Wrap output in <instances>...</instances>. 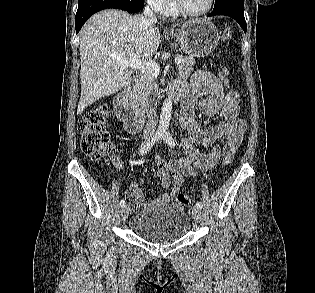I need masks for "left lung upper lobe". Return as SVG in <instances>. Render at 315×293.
Segmentation results:
<instances>
[{
	"label": "left lung upper lobe",
	"instance_id": "obj_1",
	"mask_svg": "<svg viewBox=\"0 0 315 293\" xmlns=\"http://www.w3.org/2000/svg\"><path fill=\"white\" fill-rule=\"evenodd\" d=\"M224 8L244 9V3L243 0H215L213 11H218Z\"/></svg>",
	"mask_w": 315,
	"mask_h": 293
}]
</instances>
